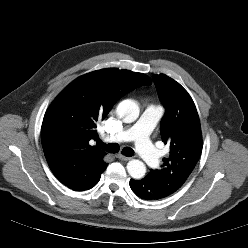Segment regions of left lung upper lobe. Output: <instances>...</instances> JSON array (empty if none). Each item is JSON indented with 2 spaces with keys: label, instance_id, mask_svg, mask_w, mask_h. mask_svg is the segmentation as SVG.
<instances>
[{
  "label": "left lung upper lobe",
  "instance_id": "1",
  "mask_svg": "<svg viewBox=\"0 0 248 248\" xmlns=\"http://www.w3.org/2000/svg\"><path fill=\"white\" fill-rule=\"evenodd\" d=\"M153 80L165 106L161 120L162 141L170 144V156L162 168L146 177L171 195L188 179L202 151V133L196 106L189 93L175 80L155 74Z\"/></svg>",
  "mask_w": 248,
  "mask_h": 248
}]
</instances>
